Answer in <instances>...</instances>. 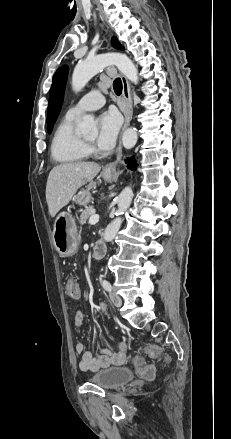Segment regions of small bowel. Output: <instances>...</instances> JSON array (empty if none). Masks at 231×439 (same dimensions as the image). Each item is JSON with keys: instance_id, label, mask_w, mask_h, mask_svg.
I'll list each match as a JSON object with an SVG mask.
<instances>
[{"instance_id": "obj_1", "label": "small bowel", "mask_w": 231, "mask_h": 439, "mask_svg": "<svg viewBox=\"0 0 231 439\" xmlns=\"http://www.w3.org/2000/svg\"><path fill=\"white\" fill-rule=\"evenodd\" d=\"M81 298V297H80ZM80 298H73L79 300ZM107 306L104 302L98 304V310L100 312H105ZM83 312L80 307L74 309V327L80 328L83 323ZM127 345L120 341L117 343V351L112 352L109 349L103 348L99 350L97 356H93L90 351H86L84 344L77 341L75 344V352L81 357L79 362V367L83 371L96 372L101 369L110 366H119L124 364L126 358Z\"/></svg>"}]
</instances>
